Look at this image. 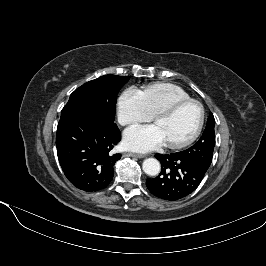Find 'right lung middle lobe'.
<instances>
[{
	"instance_id": "dd1d6c3e",
	"label": "right lung middle lobe",
	"mask_w": 266,
	"mask_h": 266,
	"mask_svg": "<svg viewBox=\"0 0 266 266\" xmlns=\"http://www.w3.org/2000/svg\"><path fill=\"white\" fill-rule=\"evenodd\" d=\"M129 76L104 75L77 88L61 111V118L79 117L113 123L116 98Z\"/></svg>"
}]
</instances>
